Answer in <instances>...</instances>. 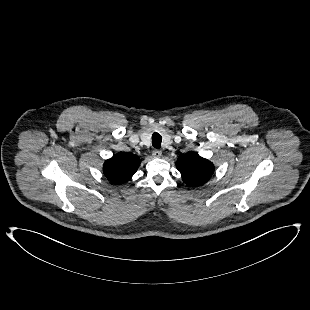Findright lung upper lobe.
<instances>
[{"mask_svg":"<svg viewBox=\"0 0 310 310\" xmlns=\"http://www.w3.org/2000/svg\"><path fill=\"white\" fill-rule=\"evenodd\" d=\"M141 160L137 155L120 152L105 161L103 172L113 184L129 181L137 171Z\"/></svg>","mask_w":310,"mask_h":310,"instance_id":"1","label":"right lung upper lobe"}]
</instances>
